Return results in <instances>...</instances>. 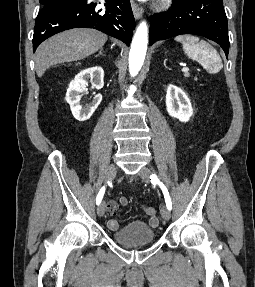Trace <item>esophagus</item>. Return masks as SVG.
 <instances>
[{
  "instance_id": "1",
  "label": "esophagus",
  "mask_w": 255,
  "mask_h": 287,
  "mask_svg": "<svg viewBox=\"0 0 255 287\" xmlns=\"http://www.w3.org/2000/svg\"><path fill=\"white\" fill-rule=\"evenodd\" d=\"M130 1H131V8H132L134 17L136 19L141 18L143 14V10L138 6V4L134 0H130Z\"/></svg>"
}]
</instances>
